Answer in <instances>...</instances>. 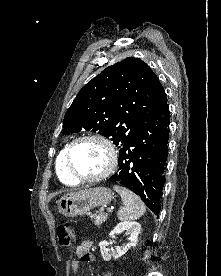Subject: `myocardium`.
I'll return each mask as SVG.
<instances>
[{
	"label": "myocardium",
	"instance_id": "1",
	"mask_svg": "<svg viewBox=\"0 0 221 276\" xmlns=\"http://www.w3.org/2000/svg\"><path fill=\"white\" fill-rule=\"evenodd\" d=\"M86 140H94V141H98L101 144H103L108 152V164L106 166V168L98 175L96 176H92V177H85V176H81L79 174H77L75 172V170L72 167V163H71V153L72 150L74 148V146L76 144H78L79 142L82 141H86ZM117 152L116 149L113 145V143L106 137L99 135V134H86L80 137L75 138L72 142H70V144L67 146L66 151H65V165H66V169L69 173V175L75 179L78 182H98L101 181L105 178H107L115 169L116 165H117Z\"/></svg>",
	"mask_w": 221,
	"mask_h": 276
}]
</instances>
